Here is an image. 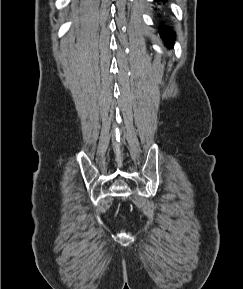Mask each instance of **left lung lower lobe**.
Returning <instances> with one entry per match:
<instances>
[{"label":"left lung lower lobe","mask_w":243,"mask_h":289,"mask_svg":"<svg viewBox=\"0 0 243 289\" xmlns=\"http://www.w3.org/2000/svg\"><path fill=\"white\" fill-rule=\"evenodd\" d=\"M156 1H160V0H156ZM161 35H162L164 41L166 42V44L168 45V47H172L174 35L172 33H170L169 29H167V28L162 29Z\"/></svg>","instance_id":"obj_1"}]
</instances>
